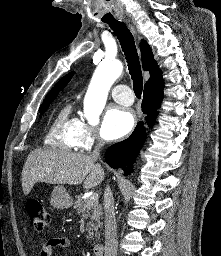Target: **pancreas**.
Masks as SVG:
<instances>
[{
	"label": "pancreas",
	"mask_w": 221,
	"mask_h": 256,
	"mask_svg": "<svg viewBox=\"0 0 221 256\" xmlns=\"http://www.w3.org/2000/svg\"><path fill=\"white\" fill-rule=\"evenodd\" d=\"M74 208L77 210V213L82 214V217L85 219L89 217L90 221L86 226L88 238L94 239L98 237L100 235L99 229H102L103 226L102 206L98 204V202L92 201L90 198H83L82 195H79L77 196Z\"/></svg>",
	"instance_id": "pancreas-1"
}]
</instances>
